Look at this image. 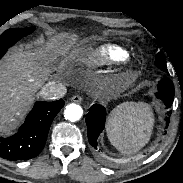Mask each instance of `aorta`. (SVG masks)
I'll return each instance as SVG.
<instances>
[{
	"mask_svg": "<svg viewBox=\"0 0 183 183\" xmlns=\"http://www.w3.org/2000/svg\"><path fill=\"white\" fill-rule=\"evenodd\" d=\"M82 115H83L82 107L74 103L67 105L64 110L65 118L71 122L80 120Z\"/></svg>",
	"mask_w": 183,
	"mask_h": 183,
	"instance_id": "obj_1",
	"label": "aorta"
}]
</instances>
